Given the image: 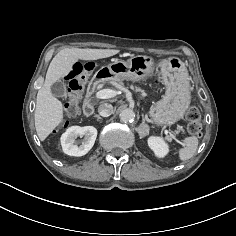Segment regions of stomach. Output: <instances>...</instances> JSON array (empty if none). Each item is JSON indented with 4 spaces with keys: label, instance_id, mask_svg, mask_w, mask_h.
Returning <instances> with one entry per match:
<instances>
[{
    "label": "stomach",
    "instance_id": "1",
    "mask_svg": "<svg viewBox=\"0 0 236 236\" xmlns=\"http://www.w3.org/2000/svg\"><path fill=\"white\" fill-rule=\"evenodd\" d=\"M154 61L150 56H132L127 61H114L100 68L94 78L101 82L120 83L123 80L140 82L152 76ZM162 74L166 85L165 96L154 103L149 111L152 121L158 126L172 125L185 114L190 104L187 71L177 57L162 62Z\"/></svg>",
    "mask_w": 236,
    "mask_h": 236
}]
</instances>
